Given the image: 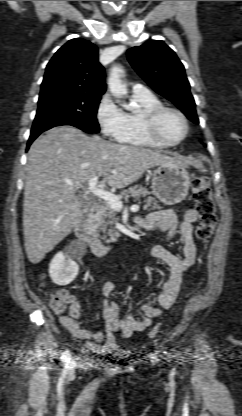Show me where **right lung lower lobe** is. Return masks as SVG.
Returning <instances> with one entry per match:
<instances>
[{
  "label": "right lung lower lobe",
  "mask_w": 242,
  "mask_h": 416,
  "mask_svg": "<svg viewBox=\"0 0 242 416\" xmlns=\"http://www.w3.org/2000/svg\"><path fill=\"white\" fill-rule=\"evenodd\" d=\"M60 125H72V126H75V127H78V128H80L81 129V126H79V125H76V124H74V123H72V122H66V123H60V124H57V125H55V126H60ZM52 127H54V126H50V127H46V128H44V129H39V130H35V131H31V135H30V138H29V140H28V143H27V150L29 149V146L31 145V143L42 133V132H44V131H46V130H48V129H50V128H52Z\"/></svg>",
  "instance_id": "1"
}]
</instances>
